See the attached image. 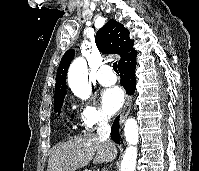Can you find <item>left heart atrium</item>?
Returning <instances> with one entry per match:
<instances>
[{"mask_svg": "<svg viewBox=\"0 0 199 171\" xmlns=\"http://www.w3.org/2000/svg\"><path fill=\"white\" fill-rule=\"evenodd\" d=\"M124 103V93L119 87H111L101 94V104L104 112L108 115L116 113Z\"/></svg>", "mask_w": 199, "mask_h": 171, "instance_id": "left-heart-atrium-1", "label": "left heart atrium"}]
</instances>
